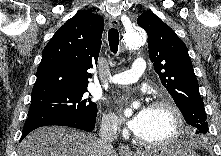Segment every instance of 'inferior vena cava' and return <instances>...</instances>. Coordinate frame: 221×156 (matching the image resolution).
Wrapping results in <instances>:
<instances>
[{"label": "inferior vena cava", "instance_id": "1", "mask_svg": "<svg viewBox=\"0 0 221 156\" xmlns=\"http://www.w3.org/2000/svg\"><path fill=\"white\" fill-rule=\"evenodd\" d=\"M117 136V125L114 121L107 120L102 123L100 137L97 139L98 146L102 152L111 149V143Z\"/></svg>", "mask_w": 221, "mask_h": 156}]
</instances>
